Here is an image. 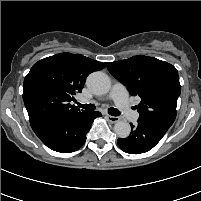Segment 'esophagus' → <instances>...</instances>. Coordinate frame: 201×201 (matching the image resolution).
<instances>
[{
	"instance_id": "34e87169",
	"label": "esophagus",
	"mask_w": 201,
	"mask_h": 201,
	"mask_svg": "<svg viewBox=\"0 0 201 201\" xmlns=\"http://www.w3.org/2000/svg\"><path fill=\"white\" fill-rule=\"evenodd\" d=\"M106 118L111 123H117L120 120L119 117L111 116V115H106Z\"/></svg>"
}]
</instances>
